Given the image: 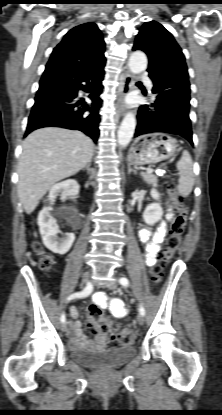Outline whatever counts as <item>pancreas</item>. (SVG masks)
Returning a JSON list of instances; mask_svg holds the SVG:
<instances>
[{
  "label": "pancreas",
  "mask_w": 222,
  "mask_h": 415,
  "mask_svg": "<svg viewBox=\"0 0 222 415\" xmlns=\"http://www.w3.org/2000/svg\"><path fill=\"white\" fill-rule=\"evenodd\" d=\"M142 178L144 179V181L148 184H151L153 186L157 185L158 182V178L156 175L152 174V173H142L141 174Z\"/></svg>",
  "instance_id": "pancreas-1"
}]
</instances>
